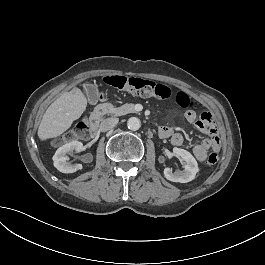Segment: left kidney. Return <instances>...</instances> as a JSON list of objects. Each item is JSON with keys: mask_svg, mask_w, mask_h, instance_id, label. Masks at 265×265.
Instances as JSON below:
<instances>
[{"mask_svg": "<svg viewBox=\"0 0 265 265\" xmlns=\"http://www.w3.org/2000/svg\"><path fill=\"white\" fill-rule=\"evenodd\" d=\"M173 153L175 156L182 157L187 165L184 166V171L172 173L170 168L164 170V176L167 180L176 183H188L192 181L199 172V166L194 156L183 148L174 147Z\"/></svg>", "mask_w": 265, "mask_h": 265, "instance_id": "5707ae66", "label": "left kidney"}]
</instances>
